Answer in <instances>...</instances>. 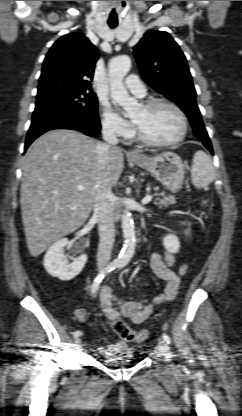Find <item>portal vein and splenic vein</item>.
Returning a JSON list of instances; mask_svg holds the SVG:
<instances>
[{"label": "portal vein and splenic vein", "instance_id": "1", "mask_svg": "<svg viewBox=\"0 0 242 416\" xmlns=\"http://www.w3.org/2000/svg\"><path fill=\"white\" fill-rule=\"evenodd\" d=\"M84 187L82 185L78 186V190H83ZM152 200V195H146L143 199H142V204H147Z\"/></svg>", "mask_w": 242, "mask_h": 416}]
</instances>
